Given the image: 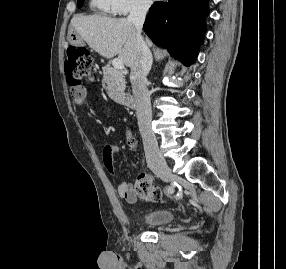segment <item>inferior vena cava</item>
<instances>
[{
	"instance_id": "602c4592",
	"label": "inferior vena cava",
	"mask_w": 286,
	"mask_h": 269,
	"mask_svg": "<svg viewBox=\"0 0 286 269\" xmlns=\"http://www.w3.org/2000/svg\"><path fill=\"white\" fill-rule=\"evenodd\" d=\"M149 7L150 4L146 2L135 3L127 20L133 23L137 32L139 58L136 64L131 68L130 80L135 98L138 126L143 140L146 160L147 162H152L161 160L162 155L159 151L155 134L151 128L152 111L150 94L146 86L147 74L151 69L153 58L150 49L141 35Z\"/></svg>"
}]
</instances>
